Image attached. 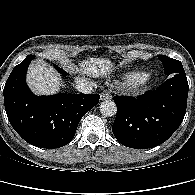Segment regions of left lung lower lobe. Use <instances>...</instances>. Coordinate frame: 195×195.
Wrapping results in <instances>:
<instances>
[{
  "instance_id": "0a47b994",
  "label": "left lung lower lobe",
  "mask_w": 195,
  "mask_h": 195,
  "mask_svg": "<svg viewBox=\"0 0 195 195\" xmlns=\"http://www.w3.org/2000/svg\"><path fill=\"white\" fill-rule=\"evenodd\" d=\"M186 74H174L157 90L137 98L115 96L117 115L112 126L116 139L130 148L146 149L165 142L180 126L188 97Z\"/></svg>"
}]
</instances>
